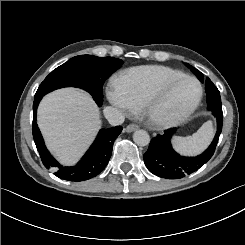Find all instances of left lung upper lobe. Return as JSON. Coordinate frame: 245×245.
<instances>
[{
	"label": "left lung upper lobe",
	"instance_id": "left-lung-upper-lobe-1",
	"mask_svg": "<svg viewBox=\"0 0 245 245\" xmlns=\"http://www.w3.org/2000/svg\"><path fill=\"white\" fill-rule=\"evenodd\" d=\"M185 65H186L188 68H190L191 71H192L197 77H199V76L202 75V73H200V72H199L197 69H195L193 66H191V65H189V64H187V63H185Z\"/></svg>",
	"mask_w": 245,
	"mask_h": 245
}]
</instances>
